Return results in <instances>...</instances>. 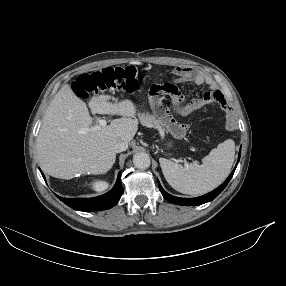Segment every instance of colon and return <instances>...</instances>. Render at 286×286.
Listing matches in <instances>:
<instances>
[{
	"mask_svg": "<svg viewBox=\"0 0 286 286\" xmlns=\"http://www.w3.org/2000/svg\"><path fill=\"white\" fill-rule=\"evenodd\" d=\"M141 80V74L134 67H106L100 71L80 74L74 83V91L81 98L107 91L134 93L140 88ZM177 94L175 85L156 84L151 87L147 99L151 102L152 112L160 120V125L179 140H184L191 131V126L188 123L180 126L170 115L164 98L165 95L174 97Z\"/></svg>",
	"mask_w": 286,
	"mask_h": 286,
	"instance_id": "5ec220e1",
	"label": "colon"
}]
</instances>
